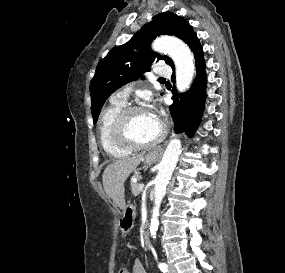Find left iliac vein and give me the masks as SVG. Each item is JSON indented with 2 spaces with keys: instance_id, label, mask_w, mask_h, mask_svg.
<instances>
[{
  "instance_id": "obj_1",
  "label": "left iliac vein",
  "mask_w": 285,
  "mask_h": 273,
  "mask_svg": "<svg viewBox=\"0 0 285 273\" xmlns=\"http://www.w3.org/2000/svg\"><path fill=\"white\" fill-rule=\"evenodd\" d=\"M168 273H177V271H176V269H175V267L173 265L169 266Z\"/></svg>"
}]
</instances>
